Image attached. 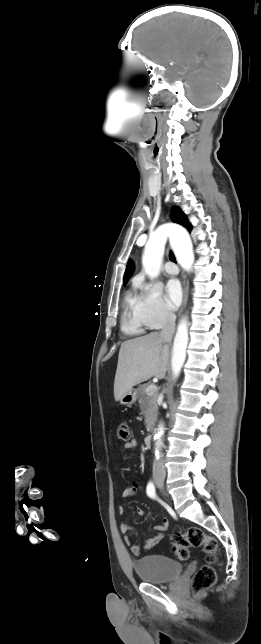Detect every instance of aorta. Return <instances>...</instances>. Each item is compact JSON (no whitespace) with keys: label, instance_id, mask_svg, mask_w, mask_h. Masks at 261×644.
<instances>
[{"label":"aorta","instance_id":"762f6f07","mask_svg":"<svg viewBox=\"0 0 261 644\" xmlns=\"http://www.w3.org/2000/svg\"><path fill=\"white\" fill-rule=\"evenodd\" d=\"M167 237H169L171 241H177V235L173 230L159 228L150 236L146 243L142 256V264L145 273L151 279L156 278L160 274ZM175 253L180 265L184 269L189 270L194 262V255L191 246H186L184 249L176 247ZM188 340L187 320L183 319L178 326L172 349L171 366L174 378L179 376L181 368L185 362ZM163 434L164 426L160 423L154 438L156 453L162 445Z\"/></svg>","mask_w":261,"mask_h":644}]
</instances>
